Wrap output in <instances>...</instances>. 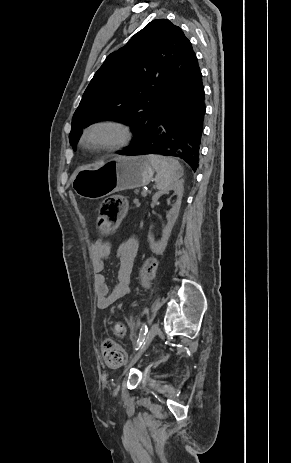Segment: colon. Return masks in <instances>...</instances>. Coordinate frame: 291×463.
Returning a JSON list of instances; mask_svg holds the SVG:
<instances>
[{"mask_svg":"<svg viewBox=\"0 0 291 463\" xmlns=\"http://www.w3.org/2000/svg\"><path fill=\"white\" fill-rule=\"evenodd\" d=\"M126 210V200L121 196L106 198L100 206L98 214V230L112 231L120 223ZM153 264L146 267V274L149 275ZM116 335L124 333V328L120 325L115 328ZM103 360L109 367H119L125 361L123 349L113 340L107 338L102 344Z\"/></svg>","mask_w":291,"mask_h":463,"instance_id":"colon-1","label":"colon"}]
</instances>
